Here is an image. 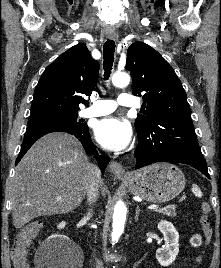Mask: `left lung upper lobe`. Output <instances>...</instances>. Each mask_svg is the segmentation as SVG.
<instances>
[{
	"label": "left lung upper lobe",
	"instance_id": "5c2ea615",
	"mask_svg": "<svg viewBox=\"0 0 221 268\" xmlns=\"http://www.w3.org/2000/svg\"><path fill=\"white\" fill-rule=\"evenodd\" d=\"M126 69L132 76V93L143 96V115L135 121L137 133L145 132L159 117L191 118L181 81L173 68L152 47L133 43L127 50Z\"/></svg>",
	"mask_w": 221,
	"mask_h": 268
}]
</instances>
